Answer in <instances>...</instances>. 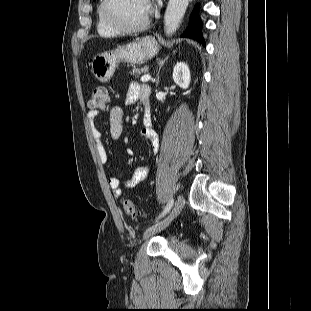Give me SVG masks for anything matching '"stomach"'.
<instances>
[{"mask_svg":"<svg viewBox=\"0 0 311 311\" xmlns=\"http://www.w3.org/2000/svg\"><path fill=\"white\" fill-rule=\"evenodd\" d=\"M159 49L160 46L155 38L146 36L118 46L115 50L97 54L91 63V71L100 82H107L121 61L131 64L142 63L157 55Z\"/></svg>","mask_w":311,"mask_h":311,"instance_id":"0dacf381","label":"stomach"}]
</instances>
